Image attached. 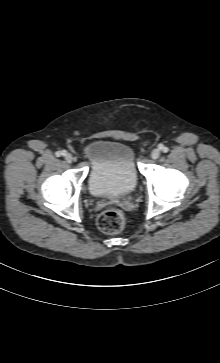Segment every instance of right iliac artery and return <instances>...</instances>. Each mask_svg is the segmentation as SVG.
<instances>
[{"instance_id":"right-iliac-artery-1","label":"right iliac artery","mask_w":220,"mask_h":363,"mask_svg":"<svg viewBox=\"0 0 220 363\" xmlns=\"http://www.w3.org/2000/svg\"><path fill=\"white\" fill-rule=\"evenodd\" d=\"M65 154H66V151L65 150H63V151H57L56 152V156L57 157L64 156Z\"/></svg>"}]
</instances>
